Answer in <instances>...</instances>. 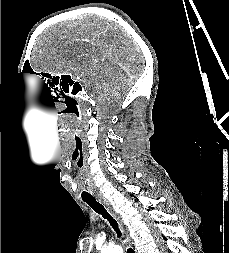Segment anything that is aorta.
<instances>
[{
    "label": "aorta",
    "mask_w": 229,
    "mask_h": 253,
    "mask_svg": "<svg viewBox=\"0 0 229 253\" xmlns=\"http://www.w3.org/2000/svg\"><path fill=\"white\" fill-rule=\"evenodd\" d=\"M101 253H123V248L120 245H111L104 247Z\"/></svg>",
    "instance_id": "1"
}]
</instances>
